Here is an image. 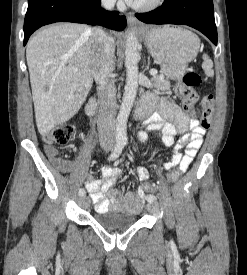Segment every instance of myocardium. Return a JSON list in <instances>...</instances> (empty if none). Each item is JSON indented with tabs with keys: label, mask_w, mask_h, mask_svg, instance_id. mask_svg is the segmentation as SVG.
Listing matches in <instances>:
<instances>
[{
	"label": "myocardium",
	"mask_w": 247,
	"mask_h": 275,
	"mask_svg": "<svg viewBox=\"0 0 247 275\" xmlns=\"http://www.w3.org/2000/svg\"><path fill=\"white\" fill-rule=\"evenodd\" d=\"M164 0H151L143 5H132L135 10L138 11H151L163 4Z\"/></svg>",
	"instance_id": "myocardium-1"
}]
</instances>
